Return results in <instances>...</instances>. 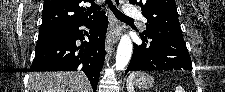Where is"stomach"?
Here are the masks:
<instances>
[{"label": "stomach", "instance_id": "obj_1", "mask_svg": "<svg viewBox=\"0 0 225 92\" xmlns=\"http://www.w3.org/2000/svg\"><path fill=\"white\" fill-rule=\"evenodd\" d=\"M153 78L145 72H137L133 78V85L142 89H149L153 86Z\"/></svg>", "mask_w": 225, "mask_h": 92}]
</instances>
